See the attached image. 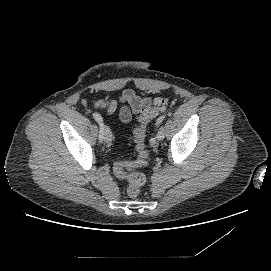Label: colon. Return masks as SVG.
<instances>
[{"label":"colon","instance_id":"5ec220e1","mask_svg":"<svg viewBox=\"0 0 271 271\" xmlns=\"http://www.w3.org/2000/svg\"><path fill=\"white\" fill-rule=\"evenodd\" d=\"M167 98H156L151 106L145 108L139 115V124L134 131L135 149L137 158L134 161H120L113 165L114 174L128 182L127 194L131 198L139 195L145 183V176L140 172H130L147 164L148 152L146 149L147 124L167 107Z\"/></svg>","mask_w":271,"mask_h":271}]
</instances>
